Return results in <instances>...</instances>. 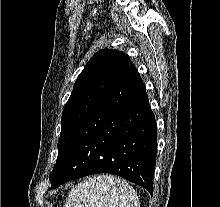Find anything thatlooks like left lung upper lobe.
I'll return each instance as SVG.
<instances>
[{"mask_svg": "<svg viewBox=\"0 0 220 207\" xmlns=\"http://www.w3.org/2000/svg\"><path fill=\"white\" fill-rule=\"evenodd\" d=\"M129 65V56L113 49L98 51L86 64L74 84L71 96L62 113L57 161L78 128Z\"/></svg>", "mask_w": 220, "mask_h": 207, "instance_id": "1", "label": "left lung upper lobe"}]
</instances>
